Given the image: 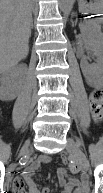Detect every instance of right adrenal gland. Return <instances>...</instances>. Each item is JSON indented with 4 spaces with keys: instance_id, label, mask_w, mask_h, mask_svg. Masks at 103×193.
Here are the masks:
<instances>
[{
    "instance_id": "2a0ac1e0",
    "label": "right adrenal gland",
    "mask_w": 103,
    "mask_h": 193,
    "mask_svg": "<svg viewBox=\"0 0 103 193\" xmlns=\"http://www.w3.org/2000/svg\"><path fill=\"white\" fill-rule=\"evenodd\" d=\"M33 29V21L31 22V25H30V36H31V30Z\"/></svg>"
}]
</instances>
